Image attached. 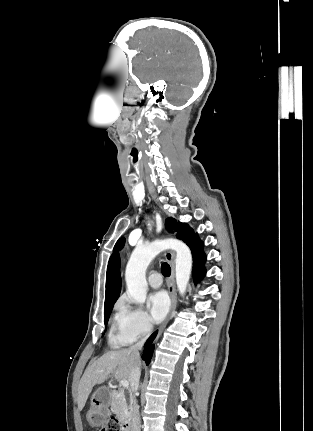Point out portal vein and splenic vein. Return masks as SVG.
<instances>
[{
    "label": "portal vein and splenic vein",
    "instance_id": "obj_1",
    "mask_svg": "<svg viewBox=\"0 0 313 431\" xmlns=\"http://www.w3.org/2000/svg\"><path fill=\"white\" fill-rule=\"evenodd\" d=\"M119 384H120V386H121V387H123V388H128V386H129V383H128V381H127V380H121V381L119 382Z\"/></svg>",
    "mask_w": 313,
    "mask_h": 431
}]
</instances>
